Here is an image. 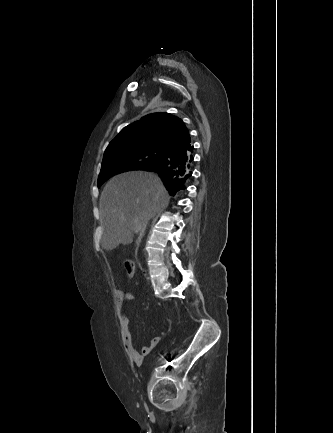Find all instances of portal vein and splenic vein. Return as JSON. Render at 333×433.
Here are the masks:
<instances>
[{"label":"portal vein and splenic vein","mask_w":333,"mask_h":433,"mask_svg":"<svg viewBox=\"0 0 333 433\" xmlns=\"http://www.w3.org/2000/svg\"><path fill=\"white\" fill-rule=\"evenodd\" d=\"M134 224H135V226H136V232H141V225H140L138 219H135V220H134Z\"/></svg>","instance_id":"obj_1"}]
</instances>
